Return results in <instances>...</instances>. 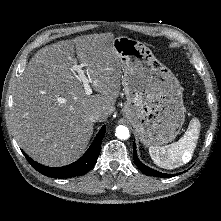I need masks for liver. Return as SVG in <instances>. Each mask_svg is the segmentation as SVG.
Here are the masks:
<instances>
[{
	"label": "liver",
	"mask_w": 221,
	"mask_h": 221,
	"mask_svg": "<svg viewBox=\"0 0 221 221\" xmlns=\"http://www.w3.org/2000/svg\"><path fill=\"white\" fill-rule=\"evenodd\" d=\"M114 38L101 33L59 41L29 61L13 97L11 126L20 147L35 161L53 167L74 162L93 134L90 112L99 111L105 121L113 111L122 77ZM77 62L97 94H85L72 69Z\"/></svg>",
	"instance_id": "6515ba94"
}]
</instances>
